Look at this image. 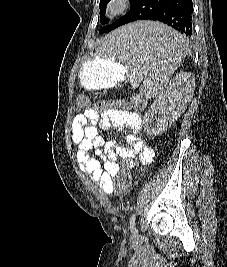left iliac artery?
<instances>
[{
	"instance_id": "left-iliac-artery-1",
	"label": "left iliac artery",
	"mask_w": 227,
	"mask_h": 267,
	"mask_svg": "<svg viewBox=\"0 0 227 267\" xmlns=\"http://www.w3.org/2000/svg\"><path fill=\"white\" fill-rule=\"evenodd\" d=\"M135 219H136L135 213H133L132 216H131V218H130V228H131V230H133V228H134Z\"/></svg>"
}]
</instances>
